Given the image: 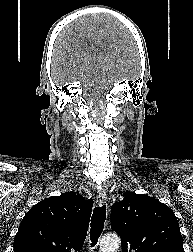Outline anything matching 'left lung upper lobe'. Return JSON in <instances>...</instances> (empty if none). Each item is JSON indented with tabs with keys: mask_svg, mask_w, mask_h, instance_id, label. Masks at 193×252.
Segmentation results:
<instances>
[{
	"mask_svg": "<svg viewBox=\"0 0 193 252\" xmlns=\"http://www.w3.org/2000/svg\"><path fill=\"white\" fill-rule=\"evenodd\" d=\"M123 196L111 209V227L122 238V252H184L171 208L145 194L127 191Z\"/></svg>",
	"mask_w": 193,
	"mask_h": 252,
	"instance_id": "left-lung-upper-lobe-1",
	"label": "left lung upper lobe"
}]
</instances>
